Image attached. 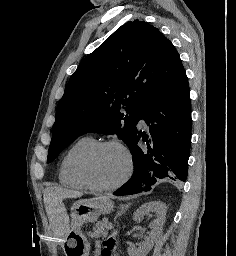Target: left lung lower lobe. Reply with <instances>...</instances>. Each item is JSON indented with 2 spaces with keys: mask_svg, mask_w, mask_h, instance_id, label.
Listing matches in <instances>:
<instances>
[{
  "mask_svg": "<svg viewBox=\"0 0 236 256\" xmlns=\"http://www.w3.org/2000/svg\"><path fill=\"white\" fill-rule=\"evenodd\" d=\"M140 119L145 121L149 130L146 134L136 127L128 145L133 156L134 173L113 195L150 191L163 179L186 180L191 144V105L184 69L144 106L137 123ZM140 139L146 142L143 148L138 145Z\"/></svg>",
  "mask_w": 236,
  "mask_h": 256,
  "instance_id": "obj_1",
  "label": "left lung lower lobe"
}]
</instances>
